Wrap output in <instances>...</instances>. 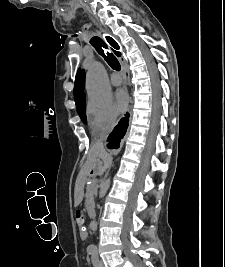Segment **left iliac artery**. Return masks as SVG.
Listing matches in <instances>:
<instances>
[{
  "mask_svg": "<svg viewBox=\"0 0 225 267\" xmlns=\"http://www.w3.org/2000/svg\"><path fill=\"white\" fill-rule=\"evenodd\" d=\"M91 260H92V263H93L94 267H98V265H99V259H98V255H97L96 252H94L92 254Z\"/></svg>",
  "mask_w": 225,
  "mask_h": 267,
  "instance_id": "left-iliac-artery-1",
  "label": "left iliac artery"
}]
</instances>
